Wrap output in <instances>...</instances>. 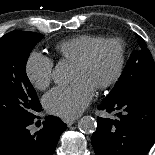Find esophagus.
I'll list each match as a JSON object with an SVG mask.
<instances>
[{
    "mask_svg": "<svg viewBox=\"0 0 155 155\" xmlns=\"http://www.w3.org/2000/svg\"><path fill=\"white\" fill-rule=\"evenodd\" d=\"M64 122L67 124V126H71L76 122V119H64Z\"/></svg>",
    "mask_w": 155,
    "mask_h": 155,
    "instance_id": "obj_1",
    "label": "esophagus"
}]
</instances>
